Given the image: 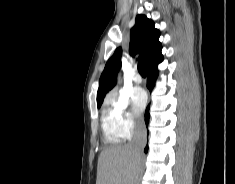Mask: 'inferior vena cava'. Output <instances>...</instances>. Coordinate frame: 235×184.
<instances>
[{"label":"inferior vena cava","instance_id":"inferior-vena-cava-1","mask_svg":"<svg viewBox=\"0 0 235 184\" xmlns=\"http://www.w3.org/2000/svg\"><path fill=\"white\" fill-rule=\"evenodd\" d=\"M147 144V130L145 128L144 120L142 118H136L133 140L130 142V146L137 156L143 154V148Z\"/></svg>","mask_w":235,"mask_h":184}]
</instances>
